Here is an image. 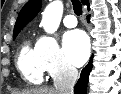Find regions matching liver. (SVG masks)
<instances>
[{"label":"liver","instance_id":"1","mask_svg":"<svg viewBox=\"0 0 121 94\" xmlns=\"http://www.w3.org/2000/svg\"><path fill=\"white\" fill-rule=\"evenodd\" d=\"M18 94H58L56 89L49 87L35 88L31 90H24Z\"/></svg>","mask_w":121,"mask_h":94}]
</instances>
